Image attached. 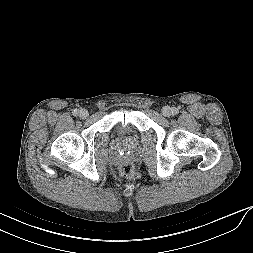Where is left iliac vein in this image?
Segmentation results:
<instances>
[{
  "label": "left iliac vein",
  "instance_id": "4c4485c4",
  "mask_svg": "<svg viewBox=\"0 0 253 253\" xmlns=\"http://www.w3.org/2000/svg\"><path fill=\"white\" fill-rule=\"evenodd\" d=\"M162 114H163V116H165V117H169V116H171V114H172V109H171L169 106H164V107L162 108Z\"/></svg>",
  "mask_w": 253,
  "mask_h": 253
}]
</instances>
